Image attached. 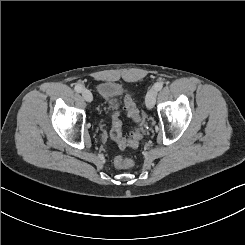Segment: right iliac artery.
Returning a JSON list of instances; mask_svg holds the SVG:
<instances>
[{
    "label": "right iliac artery",
    "mask_w": 245,
    "mask_h": 245,
    "mask_svg": "<svg viewBox=\"0 0 245 245\" xmlns=\"http://www.w3.org/2000/svg\"><path fill=\"white\" fill-rule=\"evenodd\" d=\"M74 89H75V91L78 92V93H80V92L83 91V87H82V85H80V84H76V86H75Z\"/></svg>",
    "instance_id": "82829eb1"
}]
</instances>
